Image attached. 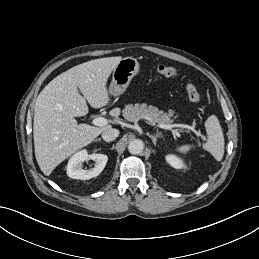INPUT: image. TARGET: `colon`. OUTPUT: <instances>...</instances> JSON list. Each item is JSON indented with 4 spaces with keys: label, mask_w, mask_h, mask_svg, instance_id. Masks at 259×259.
I'll return each instance as SVG.
<instances>
[{
    "label": "colon",
    "mask_w": 259,
    "mask_h": 259,
    "mask_svg": "<svg viewBox=\"0 0 259 259\" xmlns=\"http://www.w3.org/2000/svg\"><path fill=\"white\" fill-rule=\"evenodd\" d=\"M157 72L164 77H176L179 75V70L168 65H158ZM187 95L193 103L200 104L202 101L201 94L197 86L193 82H187L186 84Z\"/></svg>",
    "instance_id": "obj_1"
}]
</instances>
